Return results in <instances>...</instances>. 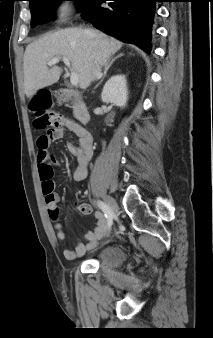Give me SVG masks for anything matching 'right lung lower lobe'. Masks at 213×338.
<instances>
[{
    "label": "right lung lower lobe",
    "mask_w": 213,
    "mask_h": 338,
    "mask_svg": "<svg viewBox=\"0 0 213 338\" xmlns=\"http://www.w3.org/2000/svg\"><path fill=\"white\" fill-rule=\"evenodd\" d=\"M108 1V7L101 4ZM164 0H96L82 16L97 29L151 52L156 2Z\"/></svg>",
    "instance_id": "obj_1"
}]
</instances>
